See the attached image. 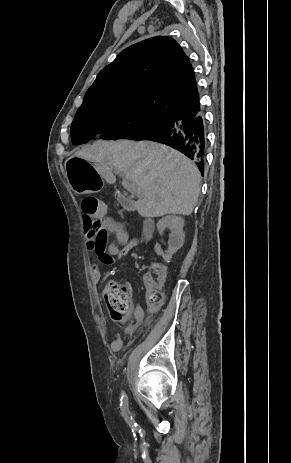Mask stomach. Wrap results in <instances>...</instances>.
<instances>
[{
  "instance_id": "0dacf381",
  "label": "stomach",
  "mask_w": 291,
  "mask_h": 463,
  "mask_svg": "<svg viewBox=\"0 0 291 463\" xmlns=\"http://www.w3.org/2000/svg\"><path fill=\"white\" fill-rule=\"evenodd\" d=\"M67 176L72 189L78 194L97 192L102 188L100 175L89 157H66Z\"/></svg>"
}]
</instances>
